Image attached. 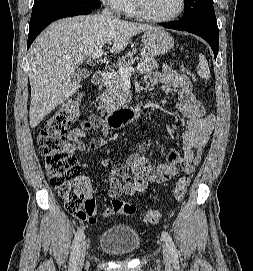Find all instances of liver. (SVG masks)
Returning <instances> with one entry per match:
<instances>
[{
  "label": "liver",
  "instance_id": "6515ba94",
  "mask_svg": "<svg viewBox=\"0 0 253 271\" xmlns=\"http://www.w3.org/2000/svg\"><path fill=\"white\" fill-rule=\"evenodd\" d=\"M153 29L100 14L65 18L47 27L29 51L31 128L79 90L76 68L93 52L108 46V53L118 54L132 36Z\"/></svg>",
  "mask_w": 253,
  "mask_h": 271
}]
</instances>
